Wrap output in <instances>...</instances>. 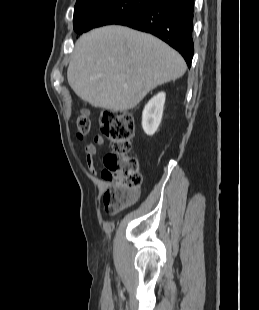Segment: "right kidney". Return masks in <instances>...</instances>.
Masks as SVG:
<instances>
[{"mask_svg":"<svg viewBox=\"0 0 259 310\" xmlns=\"http://www.w3.org/2000/svg\"><path fill=\"white\" fill-rule=\"evenodd\" d=\"M165 97V93L160 92L145 105L142 114V127L147 135H153L161 123Z\"/></svg>","mask_w":259,"mask_h":310,"instance_id":"ca27d5eb","label":"right kidney"}]
</instances>
